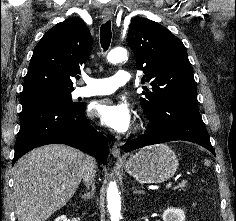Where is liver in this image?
<instances>
[{"instance_id":"6515ba94","label":"liver","mask_w":236,"mask_h":221,"mask_svg":"<svg viewBox=\"0 0 236 221\" xmlns=\"http://www.w3.org/2000/svg\"><path fill=\"white\" fill-rule=\"evenodd\" d=\"M86 155L51 144L36 148L14 168V201L18 221H46L74 195Z\"/></svg>"}]
</instances>
